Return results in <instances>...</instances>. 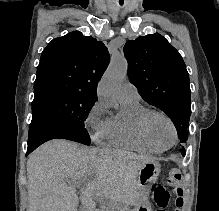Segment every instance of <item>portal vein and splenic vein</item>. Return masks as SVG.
I'll use <instances>...</instances> for the list:
<instances>
[{
  "mask_svg": "<svg viewBox=\"0 0 219 211\" xmlns=\"http://www.w3.org/2000/svg\"><path fill=\"white\" fill-rule=\"evenodd\" d=\"M75 183H79V181H75Z\"/></svg>",
  "mask_w": 219,
  "mask_h": 211,
  "instance_id": "18ae733b",
  "label": "portal vein and splenic vein"
}]
</instances>
